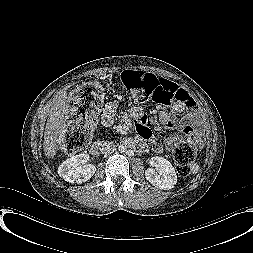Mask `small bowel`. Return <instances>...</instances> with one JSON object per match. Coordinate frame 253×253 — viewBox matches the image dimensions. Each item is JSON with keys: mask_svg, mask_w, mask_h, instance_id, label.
<instances>
[{"mask_svg": "<svg viewBox=\"0 0 253 253\" xmlns=\"http://www.w3.org/2000/svg\"><path fill=\"white\" fill-rule=\"evenodd\" d=\"M180 90L172 97L171 110L175 113H182L189 111L190 122L179 123L175 117L167 110H161L157 115L145 114L140 107H135L132 110L135 118L136 130L140 137L151 141L152 147L155 151L161 152L163 149L172 144V141L159 140L154 137L150 130V126L160 124L168 130L179 128L188 136H193L194 129L192 126L193 121L200 118L197 110L193 109V97L186 90L177 86ZM118 111V104L116 102H109L102 113V123L104 126L109 127L114 121V116Z\"/></svg>", "mask_w": 253, "mask_h": 253, "instance_id": "obj_1", "label": "small bowel"}]
</instances>
